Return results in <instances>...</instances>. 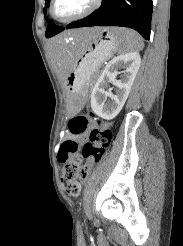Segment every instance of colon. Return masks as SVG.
Segmentation results:
<instances>
[{
	"label": "colon",
	"instance_id": "colon-1",
	"mask_svg": "<svg viewBox=\"0 0 183 246\" xmlns=\"http://www.w3.org/2000/svg\"><path fill=\"white\" fill-rule=\"evenodd\" d=\"M92 120V115L80 114L70 121V131L82 134L88 130ZM111 136L109 125L97 120L95 127L89 132V141L81 151L73 140L68 139L61 144L58 153V159L63 164L61 182L68 195L80 194L81 184L88 179L93 167L102 159Z\"/></svg>",
	"mask_w": 183,
	"mask_h": 246
}]
</instances>
